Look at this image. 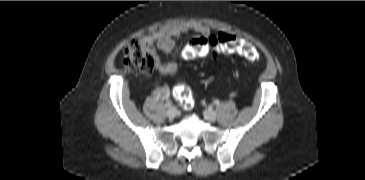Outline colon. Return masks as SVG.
<instances>
[{
  "mask_svg": "<svg viewBox=\"0 0 365 180\" xmlns=\"http://www.w3.org/2000/svg\"><path fill=\"white\" fill-rule=\"evenodd\" d=\"M210 51L215 53L239 54L249 61H258L259 53L248 41L233 34L220 33L208 38L192 39L184 48L185 58L193 59L206 56ZM124 69L127 73L150 74L157 65L155 52L140 41H131L122 51ZM174 95L185 110L193 107L194 99L185 84H178Z\"/></svg>",
  "mask_w": 365,
  "mask_h": 180,
  "instance_id": "colon-1",
  "label": "colon"
}]
</instances>
